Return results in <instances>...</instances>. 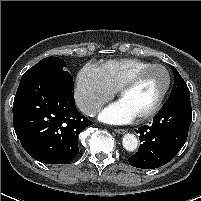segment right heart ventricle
Segmentation results:
<instances>
[{
	"label": "right heart ventricle",
	"mask_w": 201,
	"mask_h": 201,
	"mask_svg": "<svg viewBox=\"0 0 201 201\" xmlns=\"http://www.w3.org/2000/svg\"><path fill=\"white\" fill-rule=\"evenodd\" d=\"M151 63L135 58L109 60L97 68L105 83L113 90L118 91L121 84L142 68Z\"/></svg>",
	"instance_id": "obj_1"
}]
</instances>
